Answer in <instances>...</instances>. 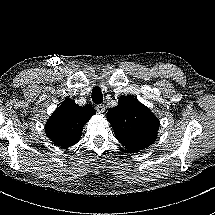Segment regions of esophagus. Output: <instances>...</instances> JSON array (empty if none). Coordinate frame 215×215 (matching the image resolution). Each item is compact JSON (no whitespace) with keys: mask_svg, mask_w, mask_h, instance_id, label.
<instances>
[{"mask_svg":"<svg viewBox=\"0 0 215 215\" xmlns=\"http://www.w3.org/2000/svg\"><path fill=\"white\" fill-rule=\"evenodd\" d=\"M96 111L100 114L104 113L106 111L105 105L104 104L96 105Z\"/></svg>","mask_w":215,"mask_h":215,"instance_id":"esophagus-1","label":"esophagus"}]
</instances>
